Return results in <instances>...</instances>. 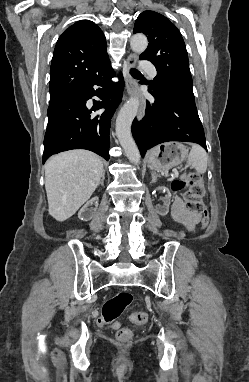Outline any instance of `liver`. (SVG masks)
Here are the masks:
<instances>
[{"mask_svg":"<svg viewBox=\"0 0 249 382\" xmlns=\"http://www.w3.org/2000/svg\"><path fill=\"white\" fill-rule=\"evenodd\" d=\"M103 172L100 157L87 150L52 156L45 165L49 214L59 222L73 216L91 197Z\"/></svg>","mask_w":249,"mask_h":382,"instance_id":"6515ba94","label":"liver"}]
</instances>
